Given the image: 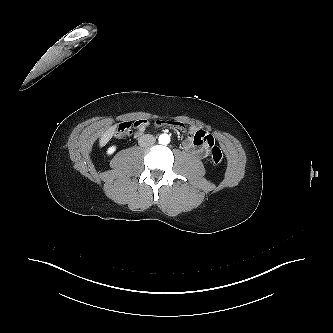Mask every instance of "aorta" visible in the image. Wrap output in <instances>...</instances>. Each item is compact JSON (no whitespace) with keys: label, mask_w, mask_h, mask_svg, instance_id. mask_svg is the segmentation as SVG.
Here are the masks:
<instances>
[{"label":"aorta","mask_w":333,"mask_h":333,"mask_svg":"<svg viewBox=\"0 0 333 333\" xmlns=\"http://www.w3.org/2000/svg\"><path fill=\"white\" fill-rule=\"evenodd\" d=\"M170 142V136L168 134H161L159 136V143L166 145Z\"/></svg>","instance_id":"1"}]
</instances>
